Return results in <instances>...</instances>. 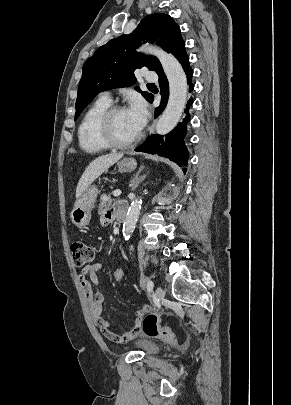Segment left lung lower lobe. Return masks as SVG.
Listing matches in <instances>:
<instances>
[{"mask_svg": "<svg viewBox=\"0 0 291 405\" xmlns=\"http://www.w3.org/2000/svg\"><path fill=\"white\" fill-rule=\"evenodd\" d=\"M172 54L181 63L186 75L187 83L189 85V92L194 88L191 82L193 76V70L189 64V57L185 50V42L183 39L175 46ZM159 76V86L161 88L160 94L162 96L160 106L155 109V117L159 116L164 108L166 107L168 96H169V86L168 80L162 69V66L156 70ZM153 101V96L149 100ZM193 99L190 98L186 105L185 113L187 116L178 124V126L166 135H151L141 146H139L135 151L146 152L149 154H158L169 158L170 160L177 163L179 166H186L188 161V151L184 143V137L187 132L186 124L190 121L189 107L192 105ZM184 173L186 169H183Z\"/></svg>", "mask_w": 291, "mask_h": 405, "instance_id": "1", "label": "left lung lower lobe"}]
</instances>
